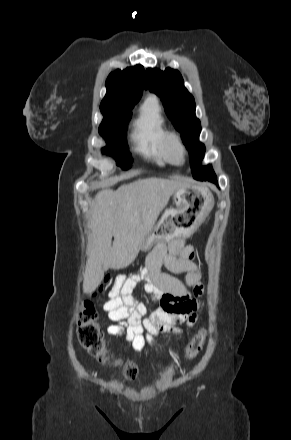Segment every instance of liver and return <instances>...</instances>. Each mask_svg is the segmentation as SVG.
<instances>
[{
    "label": "liver",
    "mask_w": 291,
    "mask_h": 440,
    "mask_svg": "<svg viewBox=\"0 0 291 440\" xmlns=\"http://www.w3.org/2000/svg\"><path fill=\"white\" fill-rule=\"evenodd\" d=\"M181 186L150 177L97 193L89 220L84 291H94L109 268L122 269L134 261L170 196Z\"/></svg>",
    "instance_id": "6515ba94"
}]
</instances>
